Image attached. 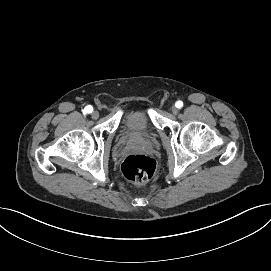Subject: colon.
<instances>
[{"instance_id":"5ec220e1","label":"colon","mask_w":271,"mask_h":271,"mask_svg":"<svg viewBox=\"0 0 271 271\" xmlns=\"http://www.w3.org/2000/svg\"><path fill=\"white\" fill-rule=\"evenodd\" d=\"M123 175L135 184H141L153 177L156 162L146 155H130L121 165Z\"/></svg>"}]
</instances>
